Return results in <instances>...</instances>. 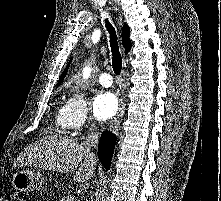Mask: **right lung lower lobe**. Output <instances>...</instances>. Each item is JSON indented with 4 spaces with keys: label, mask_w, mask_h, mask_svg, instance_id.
Listing matches in <instances>:
<instances>
[{
    "label": "right lung lower lobe",
    "mask_w": 221,
    "mask_h": 201,
    "mask_svg": "<svg viewBox=\"0 0 221 201\" xmlns=\"http://www.w3.org/2000/svg\"><path fill=\"white\" fill-rule=\"evenodd\" d=\"M116 136L108 134V131H104L100 137L98 146V157L101 164L106 168H110L111 159L115 147Z\"/></svg>",
    "instance_id": "1"
}]
</instances>
